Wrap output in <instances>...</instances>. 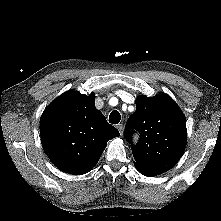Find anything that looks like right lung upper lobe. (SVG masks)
<instances>
[{
    "instance_id": "1",
    "label": "right lung upper lobe",
    "mask_w": 221,
    "mask_h": 221,
    "mask_svg": "<svg viewBox=\"0 0 221 221\" xmlns=\"http://www.w3.org/2000/svg\"><path fill=\"white\" fill-rule=\"evenodd\" d=\"M42 146L53 164L82 175L98 162L106 144L119 136L95 107V96L70 90L56 98L40 119Z\"/></svg>"
}]
</instances>
